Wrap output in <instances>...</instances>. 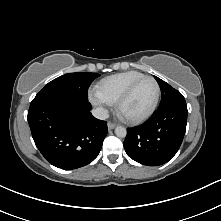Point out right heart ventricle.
Segmentation results:
<instances>
[{"label": "right heart ventricle", "instance_id": "obj_1", "mask_svg": "<svg viewBox=\"0 0 221 221\" xmlns=\"http://www.w3.org/2000/svg\"><path fill=\"white\" fill-rule=\"evenodd\" d=\"M142 76L133 70L108 76L98 83L96 92L110 104L116 103L127 87Z\"/></svg>", "mask_w": 221, "mask_h": 221}]
</instances>
